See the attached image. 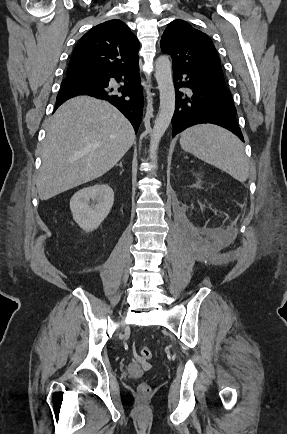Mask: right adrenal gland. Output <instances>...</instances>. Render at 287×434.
Masks as SVG:
<instances>
[{"mask_svg": "<svg viewBox=\"0 0 287 434\" xmlns=\"http://www.w3.org/2000/svg\"><path fill=\"white\" fill-rule=\"evenodd\" d=\"M119 167L123 168L122 161L118 164ZM123 170V169H122Z\"/></svg>", "mask_w": 287, "mask_h": 434, "instance_id": "2a0ac1e0", "label": "right adrenal gland"}]
</instances>
